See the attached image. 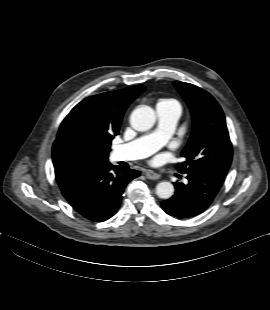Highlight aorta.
Returning <instances> with one entry per match:
<instances>
[{"label":"aorta","mask_w":270,"mask_h":310,"mask_svg":"<svg viewBox=\"0 0 270 310\" xmlns=\"http://www.w3.org/2000/svg\"><path fill=\"white\" fill-rule=\"evenodd\" d=\"M156 116L154 110L149 106H140L136 108L131 116V126L137 131H147L155 124ZM156 194L162 199H169L174 194L172 183L163 181L157 184Z\"/></svg>","instance_id":"762f6f07"}]
</instances>
